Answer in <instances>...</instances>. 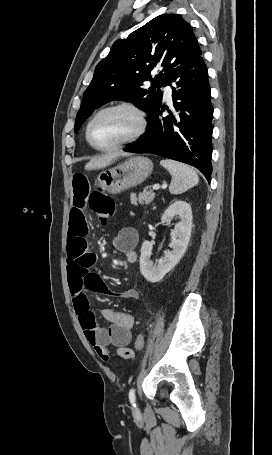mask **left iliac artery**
I'll return each instance as SVG.
<instances>
[{"mask_svg": "<svg viewBox=\"0 0 272 455\" xmlns=\"http://www.w3.org/2000/svg\"><path fill=\"white\" fill-rule=\"evenodd\" d=\"M129 400L131 402V404L135 407L136 404H135V390L132 388L130 389L129 391Z\"/></svg>", "mask_w": 272, "mask_h": 455, "instance_id": "left-iliac-artery-1", "label": "left iliac artery"}]
</instances>
